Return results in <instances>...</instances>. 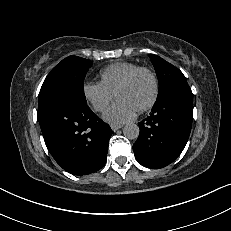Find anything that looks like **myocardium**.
<instances>
[{
	"label": "myocardium",
	"mask_w": 231,
	"mask_h": 231,
	"mask_svg": "<svg viewBox=\"0 0 231 231\" xmlns=\"http://www.w3.org/2000/svg\"><path fill=\"white\" fill-rule=\"evenodd\" d=\"M146 73L148 74L153 82V93L151 98L149 99V101L144 104L142 107H140L137 112L142 113L145 112L147 110H149L150 108H152L154 106V104L156 103L158 96H159V92H160V85H159V80L158 77L156 75V73L147 67H139L136 70H134L133 72H131L121 83L120 85L117 87L116 91H115V96L117 97L119 91H121L122 89L128 87L129 85H131L134 80L140 75Z\"/></svg>",
	"instance_id": "1"
}]
</instances>
